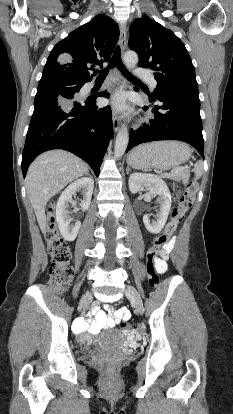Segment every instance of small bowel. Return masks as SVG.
I'll return each mask as SVG.
<instances>
[{"label": "small bowel", "mask_w": 233, "mask_h": 414, "mask_svg": "<svg viewBox=\"0 0 233 414\" xmlns=\"http://www.w3.org/2000/svg\"><path fill=\"white\" fill-rule=\"evenodd\" d=\"M175 238H172L170 242L165 246L163 254L155 261V267L158 274H163L167 270V254L172 249ZM94 310V320L88 322L86 320H80L77 323L76 330L80 334L82 340H87V334H95L101 329L113 328L122 321H126L130 314L127 308L121 307L117 310L111 309L108 305L104 306V310L98 308L100 303L94 300L91 303Z\"/></svg>", "instance_id": "1"}]
</instances>
